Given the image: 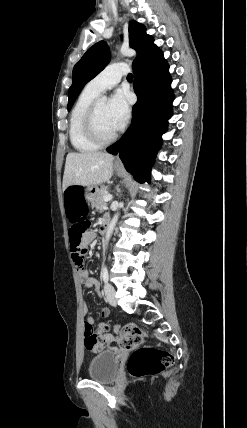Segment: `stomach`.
<instances>
[{
	"label": "stomach",
	"mask_w": 247,
	"mask_h": 428,
	"mask_svg": "<svg viewBox=\"0 0 247 428\" xmlns=\"http://www.w3.org/2000/svg\"><path fill=\"white\" fill-rule=\"evenodd\" d=\"M115 170H116L118 175H122L124 172L121 167H117V166L115 167ZM97 192H98L97 185L87 187L85 195H84L85 199L93 204L95 202Z\"/></svg>",
	"instance_id": "1"
}]
</instances>
